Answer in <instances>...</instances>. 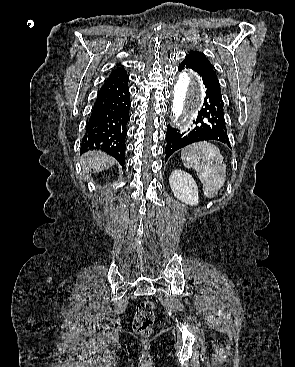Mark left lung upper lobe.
<instances>
[{
    "label": "left lung upper lobe",
    "instance_id": "5c2ea615",
    "mask_svg": "<svg viewBox=\"0 0 295 367\" xmlns=\"http://www.w3.org/2000/svg\"><path fill=\"white\" fill-rule=\"evenodd\" d=\"M186 59H191L193 60L196 64L198 65H202L205 66L207 68L213 69L212 64L210 63V61L206 58V56L198 51H190L188 53V55H186L185 57Z\"/></svg>",
    "mask_w": 295,
    "mask_h": 367
}]
</instances>
